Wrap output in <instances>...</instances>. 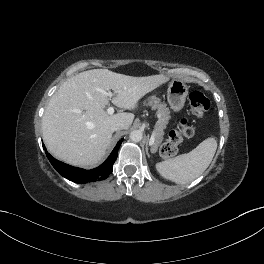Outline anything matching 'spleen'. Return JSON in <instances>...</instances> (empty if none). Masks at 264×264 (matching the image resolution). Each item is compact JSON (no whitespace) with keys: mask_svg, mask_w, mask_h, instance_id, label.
Returning a JSON list of instances; mask_svg holds the SVG:
<instances>
[{"mask_svg":"<svg viewBox=\"0 0 264 264\" xmlns=\"http://www.w3.org/2000/svg\"><path fill=\"white\" fill-rule=\"evenodd\" d=\"M217 149V140L209 137L186 154L156 164L159 174L170 181L184 185L199 177L210 165Z\"/></svg>","mask_w":264,"mask_h":264,"instance_id":"3e777b00","label":"spleen"}]
</instances>
